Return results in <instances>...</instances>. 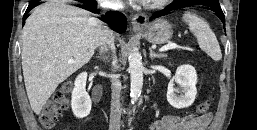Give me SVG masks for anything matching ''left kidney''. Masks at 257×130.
<instances>
[{
  "mask_svg": "<svg viewBox=\"0 0 257 130\" xmlns=\"http://www.w3.org/2000/svg\"><path fill=\"white\" fill-rule=\"evenodd\" d=\"M197 73L193 66L182 65L176 70L174 78L168 84L167 100L171 106L176 109L187 108L195 100L197 89ZM177 84L178 88H175ZM176 92L181 95L177 96Z\"/></svg>",
  "mask_w": 257,
  "mask_h": 130,
  "instance_id": "obj_1",
  "label": "left kidney"
}]
</instances>
